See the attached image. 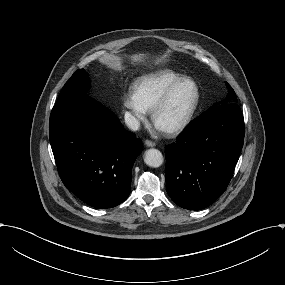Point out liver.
Here are the masks:
<instances>
[{"mask_svg":"<svg viewBox=\"0 0 285 285\" xmlns=\"http://www.w3.org/2000/svg\"><path fill=\"white\" fill-rule=\"evenodd\" d=\"M104 62H108L109 64H115V61L113 60V55L105 56L102 58Z\"/></svg>","mask_w":285,"mask_h":285,"instance_id":"1","label":"liver"}]
</instances>
